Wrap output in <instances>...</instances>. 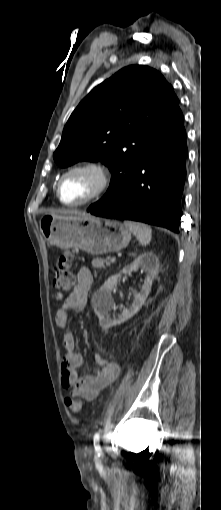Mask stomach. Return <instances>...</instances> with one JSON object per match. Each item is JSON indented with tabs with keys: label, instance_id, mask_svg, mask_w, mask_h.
I'll return each mask as SVG.
<instances>
[{
	"label": "stomach",
	"instance_id": "obj_1",
	"mask_svg": "<svg viewBox=\"0 0 221 510\" xmlns=\"http://www.w3.org/2000/svg\"><path fill=\"white\" fill-rule=\"evenodd\" d=\"M39 228L49 244L61 249L78 248L91 255L120 251L131 239V233L119 221L88 214H45Z\"/></svg>",
	"mask_w": 221,
	"mask_h": 510
}]
</instances>
